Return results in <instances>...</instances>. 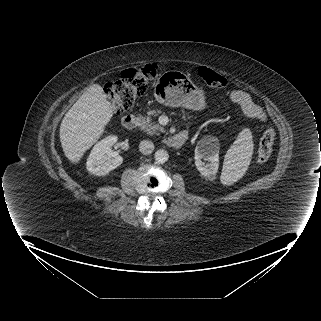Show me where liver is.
<instances>
[{
  "mask_svg": "<svg viewBox=\"0 0 321 321\" xmlns=\"http://www.w3.org/2000/svg\"><path fill=\"white\" fill-rule=\"evenodd\" d=\"M114 113L103 88L93 84L65 114L60 125V141L68 160L77 164L104 133Z\"/></svg>",
  "mask_w": 321,
  "mask_h": 321,
  "instance_id": "liver-1",
  "label": "liver"
}]
</instances>
